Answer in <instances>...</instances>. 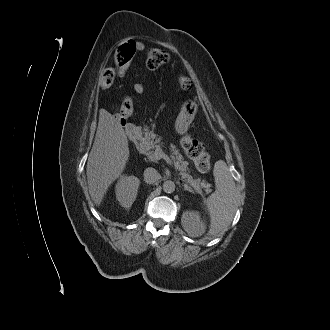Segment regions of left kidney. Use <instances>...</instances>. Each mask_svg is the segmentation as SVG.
Masks as SVG:
<instances>
[{
    "instance_id": "1",
    "label": "left kidney",
    "mask_w": 330,
    "mask_h": 330,
    "mask_svg": "<svg viewBox=\"0 0 330 330\" xmlns=\"http://www.w3.org/2000/svg\"><path fill=\"white\" fill-rule=\"evenodd\" d=\"M183 229L192 237H198L204 234L206 230L205 223L201 220L198 212L186 211L181 218Z\"/></svg>"
}]
</instances>
